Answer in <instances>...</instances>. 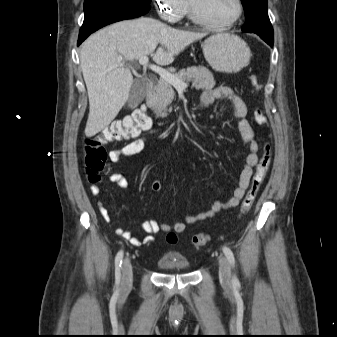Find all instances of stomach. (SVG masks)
Listing matches in <instances>:
<instances>
[{
  "label": "stomach",
  "mask_w": 337,
  "mask_h": 337,
  "mask_svg": "<svg viewBox=\"0 0 337 337\" xmlns=\"http://www.w3.org/2000/svg\"><path fill=\"white\" fill-rule=\"evenodd\" d=\"M210 66L224 73H237L249 64L251 51L240 37L223 33L210 36L203 44Z\"/></svg>",
  "instance_id": "0dacf381"
}]
</instances>
